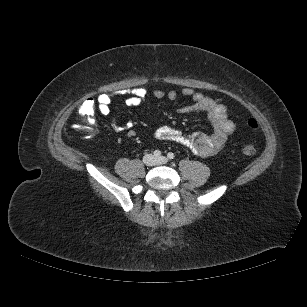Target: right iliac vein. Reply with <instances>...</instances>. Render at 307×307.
I'll return each instance as SVG.
<instances>
[{"label":"right iliac vein","instance_id":"63e3f726","mask_svg":"<svg viewBox=\"0 0 307 307\" xmlns=\"http://www.w3.org/2000/svg\"><path fill=\"white\" fill-rule=\"evenodd\" d=\"M143 162L144 164H146L147 166H153L156 162L154 156L152 154H147L144 158H143Z\"/></svg>","mask_w":307,"mask_h":307}]
</instances>
